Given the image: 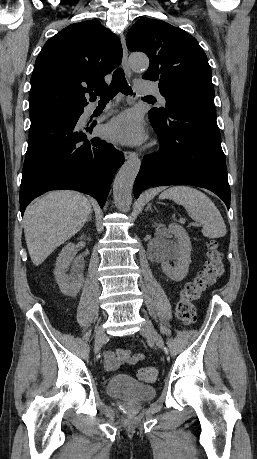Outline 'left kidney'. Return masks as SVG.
<instances>
[{
    "instance_id": "1",
    "label": "left kidney",
    "mask_w": 257,
    "mask_h": 459,
    "mask_svg": "<svg viewBox=\"0 0 257 459\" xmlns=\"http://www.w3.org/2000/svg\"><path fill=\"white\" fill-rule=\"evenodd\" d=\"M170 234L177 238V244L170 243L165 239ZM159 235L158 250L163 272L173 281L183 280L188 274L192 249L186 230L181 225L171 223L168 229L161 228ZM170 259L177 260L175 267L169 264Z\"/></svg>"
}]
</instances>
